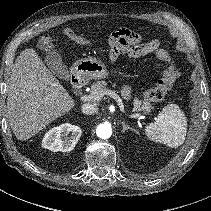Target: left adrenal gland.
Returning a JSON list of instances; mask_svg holds the SVG:
<instances>
[{
    "instance_id": "a2214340",
    "label": "left adrenal gland",
    "mask_w": 211,
    "mask_h": 211,
    "mask_svg": "<svg viewBox=\"0 0 211 211\" xmlns=\"http://www.w3.org/2000/svg\"><path fill=\"white\" fill-rule=\"evenodd\" d=\"M121 124H122V127H123V130H122L123 133L127 130L134 131V132L136 131L135 129H133L129 125H127L124 121H122Z\"/></svg>"
}]
</instances>
